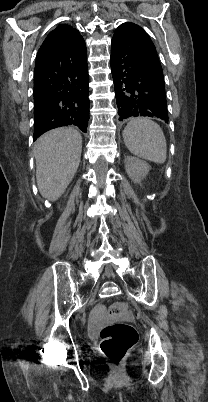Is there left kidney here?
<instances>
[{
    "instance_id": "obj_1",
    "label": "left kidney",
    "mask_w": 208,
    "mask_h": 402,
    "mask_svg": "<svg viewBox=\"0 0 208 402\" xmlns=\"http://www.w3.org/2000/svg\"><path fill=\"white\" fill-rule=\"evenodd\" d=\"M125 168L126 172L131 178L132 182L135 184H140L141 180L147 176L150 166L144 160H139V158H134V156H127L125 158Z\"/></svg>"
}]
</instances>
